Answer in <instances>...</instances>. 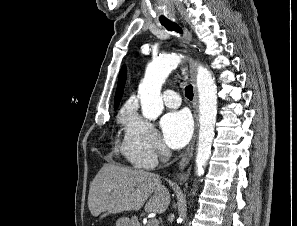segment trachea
Segmentation results:
<instances>
[{"mask_svg":"<svg viewBox=\"0 0 297 226\" xmlns=\"http://www.w3.org/2000/svg\"><path fill=\"white\" fill-rule=\"evenodd\" d=\"M162 25L167 30L176 31V32L182 34V29L176 23H173V22H164V23H162ZM185 95H186V97L189 100H192V98H193V87L191 85L186 87V89H185Z\"/></svg>","mask_w":297,"mask_h":226,"instance_id":"3493384b","label":"trachea"}]
</instances>
